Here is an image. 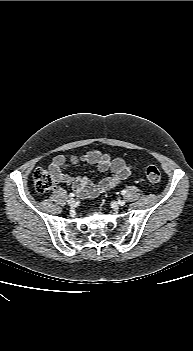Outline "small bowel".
Segmentation results:
<instances>
[{"label": "small bowel", "mask_w": 193, "mask_h": 351, "mask_svg": "<svg viewBox=\"0 0 193 351\" xmlns=\"http://www.w3.org/2000/svg\"><path fill=\"white\" fill-rule=\"evenodd\" d=\"M78 163L94 165L100 172L110 171L111 175L99 182H94L88 177H71L63 172L68 164ZM49 170L57 183L71 186L81 196L94 198L116 188L131 175L133 167L123 158H112L107 153L92 150L83 155H58L52 160Z\"/></svg>", "instance_id": "1"}]
</instances>
